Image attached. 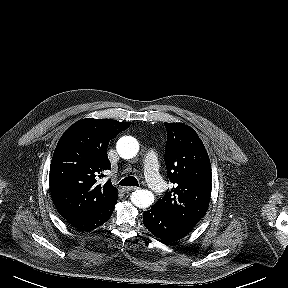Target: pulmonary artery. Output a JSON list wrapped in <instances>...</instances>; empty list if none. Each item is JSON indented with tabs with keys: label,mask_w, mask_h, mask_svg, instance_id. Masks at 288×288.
<instances>
[{
	"label": "pulmonary artery",
	"mask_w": 288,
	"mask_h": 288,
	"mask_svg": "<svg viewBox=\"0 0 288 288\" xmlns=\"http://www.w3.org/2000/svg\"><path fill=\"white\" fill-rule=\"evenodd\" d=\"M145 180L152 191L161 194L165 183L159 174L157 156L154 151H148L143 160Z\"/></svg>",
	"instance_id": "1"
}]
</instances>
